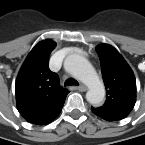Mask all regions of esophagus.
I'll return each instance as SVG.
<instances>
[{"instance_id": "1", "label": "esophagus", "mask_w": 145, "mask_h": 145, "mask_svg": "<svg viewBox=\"0 0 145 145\" xmlns=\"http://www.w3.org/2000/svg\"><path fill=\"white\" fill-rule=\"evenodd\" d=\"M77 89L80 91V92H85L87 90V87L85 85H80L77 87Z\"/></svg>"}]
</instances>
